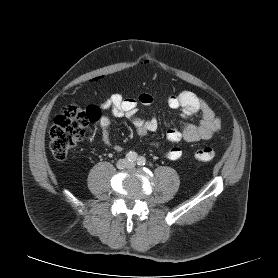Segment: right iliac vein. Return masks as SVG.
<instances>
[{
	"label": "right iliac vein",
	"instance_id": "63e3f726",
	"mask_svg": "<svg viewBox=\"0 0 278 278\" xmlns=\"http://www.w3.org/2000/svg\"><path fill=\"white\" fill-rule=\"evenodd\" d=\"M126 165H127V162L125 160H120L118 162V167L121 168V169L125 168Z\"/></svg>",
	"mask_w": 278,
	"mask_h": 278
}]
</instances>
